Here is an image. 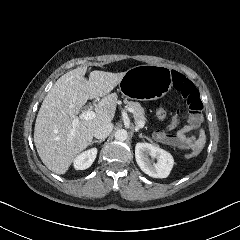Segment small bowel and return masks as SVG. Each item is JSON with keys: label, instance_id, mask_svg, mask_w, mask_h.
<instances>
[{"label": "small bowel", "instance_id": "obj_1", "mask_svg": "<svg viewBox=\"0 0 240 240\" xmlns=\"http://www.w3.org/2000/svg\"><path fill=\"white\" fill-rule=\"evenodd\" d=\"M186 118L185 115H176L170 123L163 129L153 133L155 141L186 150L190 146L203 148L206 137L204 129L201 125H193L187 122L182 128L176 132H172L181 119Z\"/></svg>", "mask_w": 240, "mask_h": 240}]
</instances>
